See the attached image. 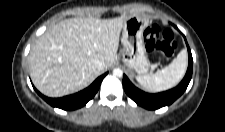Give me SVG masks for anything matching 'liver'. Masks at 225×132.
I'll return each mask as SVG.
<instances>
[{
	"mask_svg": "<svg viewBox=\"0 0 225 132\" xmlns=\"http://www.w3.org/2000/svg\"><path fill=\"white\" fill-rule=\"evenodd\" d=\"M129 16L113 19L71 18L51 26L31 48L28 60L35 87L49 97L83 89L98 73L90 63L101 60L104 70L117 59L120 32Z\"/></svg>",
	"mask_w": 225,
	"mask_h": 132,
	"instance_id": "6515ba94",
	"label": "liver"
}]
</instances>
